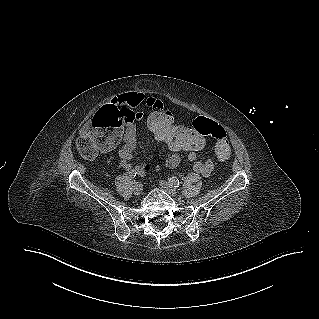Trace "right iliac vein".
I'll use <instances>...</instances> for the list:
<instances>
[{"label":"right iliac vein","mask_w":319,"mask_h":319,"mask_svg":"<svg viewBox=\"0 0 319 319\" xmlns=\"http://www.w3.org/2000/svg\"><path fill=\"white\" fill-rule=\"evenodd\" d=\"M143 186L141 183L137 182L134 184L133 191L135 195H140L142 193Z\"/></svg>","instance_id":"obj_1"}]
</instances>
